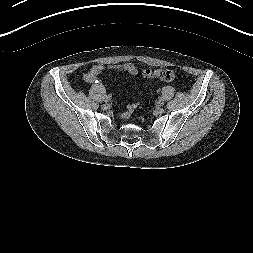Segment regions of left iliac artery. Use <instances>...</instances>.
I'll return each mask as SVG.
<instances>
[{
    "label": "left iliac artery",
    "instance_id": "obj_1",
    "mask_svg": "<svg viewBox=\"0 0 253 253\" xmlns=\"http://www.w3.org/2000/svg\"><path fill=\"white\" fill-rule=\"evenodd\" d=\"M157 102H158V103H162V102H163V99H162V98H158V99H157Z\"/></svg>",
    "mask_w": 253,
    "mask_h": 253
}]
</instances>
